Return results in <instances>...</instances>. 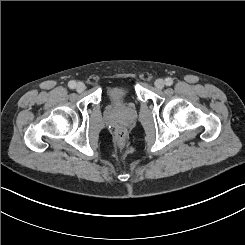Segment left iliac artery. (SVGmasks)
<instances>
[{
    "instance_id": "1",
    "label": "left iliac artery",
    "mask_w": 245,
    "mask_h": 245,
    "mask_svg": "<svg viewBox=\"0 0 245 245\" xmlns=\"http://www.w3.org/2000/svg\"><path fill=\"white\" fill-rule=\"evenodd\" d=\"M165 83L167 86H171L173 84V79L168 77L165 79Z\"/></svg>"
}]
</instances>
